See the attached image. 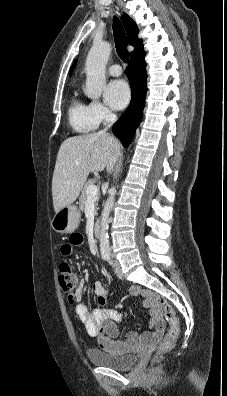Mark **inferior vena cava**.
Instances as JSON below:
<instances>
[{
    "mask_svg": "<svg viewBox=\"0 0 227 396\" xmlns=\"http://www.w3.org/2000/svg\"><path fill=\"white\" fill-rule=\"evenodd\" d=\"M108 120H109L110 125H111V124L116 120V114L110 112V113H109ZM110 125H109V126H110ZM106 130H107V128H105V129H104L103 131H101V132H106ZM116 161H117V157H113V158L111 159V161L109 162L108 167H107V171H108L109 173L113 170V167H114Z\"/></svg>",
    "mask_w": 227,
    "mask_h": 396,
    "instance_id": "inferior-vena-cava-1",
    "label": "inferior vena cava"
}]
</instances>
